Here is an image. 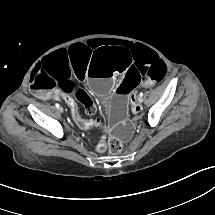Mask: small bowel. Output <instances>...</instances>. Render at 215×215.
I'll return each mask as SVG.
<instances>
[{"label": "small bowel", "mask_w": 215, "mask_h": 215, "mask_svg": "<svg viewBox=\"0 0 215 215\" xmlns=\"http://www.w3.org/2000/svg\"><path fill=\"white\" fill-rule=\"evenodd\" d=\"M60 96H61V98L64 100V101H66V99L69 97V95L68 94H66V93H61L60 94ZM134 111V110H133ZM89 122V124H90V127H95V126H97V121H88ZM89 127V128H90ZM98 149V151L99 152H103L105 149H103V148H97Z\"/></svg>", "instance_id": "small-bowel-1"}]
</instances>
